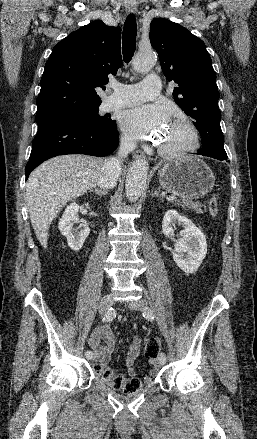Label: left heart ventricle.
<instances>
[{
    "label": "left heart ventricle",
    "mask_w": 257,
    "mask_h": 439,
    "mask_svg": "<svg viewBox=\"0 0 257 439\" xmlns=\"http://www.w3.org/2000/svg\"><path fill=\"white\" fill-rule=\"evenodd\" d=\"M190 144V134L182 126L169 124L162 136L160 146L176 149Z\"/></svg>",
    "instance_id": "obj_1"
}]
</instances>
